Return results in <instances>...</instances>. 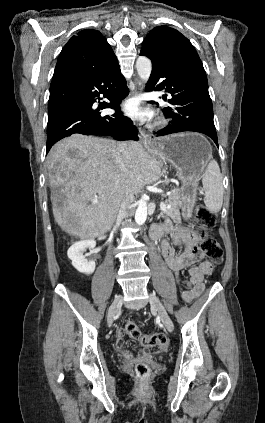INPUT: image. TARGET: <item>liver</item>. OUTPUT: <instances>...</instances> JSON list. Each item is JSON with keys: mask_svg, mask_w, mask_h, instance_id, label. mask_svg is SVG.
I'll return each instance as SVG.
<instances>
[{"mask_svg": "<svg viewBox=\"0 0 265 423\" xmlns=\"http://www.w3.org/2000/svg\"><path fill=\"white\" fill-rule=\"evenodd\" d=\"M125 176L118 162L117 143L73 134L55 144L46 158L51 202L57 224L80 239L109 231L118 212L119 188L129 181L133 194L159 180V163L137 142H124ZM62 187L61 198L54 189ZM97 199L98 203H90Z\"/></svg>", "mask_w": 265, "mask_h": 423, "instance_id": "liver-1", "label": "liver"}]
</instances>
